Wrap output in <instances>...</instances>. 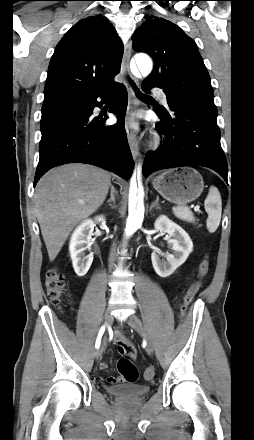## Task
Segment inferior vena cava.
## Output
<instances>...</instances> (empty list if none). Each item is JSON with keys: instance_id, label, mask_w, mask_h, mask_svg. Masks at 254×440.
I'll return each mask as SVG.
<instances>
[{"instance_id": "602c4592", "label": "inferior vena cava", "mask_w": 254, "mask_h": 440, "mask_svg": "<svg viewBox=\"0 0 254 440\" xmlns=\"http://www.w3.org/2000/svg\"><path fill=\"white\" fill-rule=\"evenodd\" d=\"M115 251L116 247L115 244L112 245L110 256H109V267L112 268L115 262Z\"/></svg>"}]
</instances>
